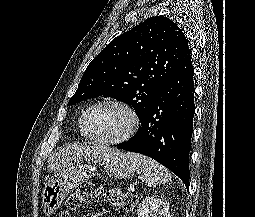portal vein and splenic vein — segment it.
Segmentation results:
<instances>
[{
	"label": "portal vein and splenic vein",
	"mask_w": 255,
	"mask_h": 217,
	"mask_svg": "<svg viewBox=\"0 0 255 217\" xmlns=\"http://www.w3.org/2000/svg\"><path fill=\"white\" fill-rule=\"evenodd\" d=\"M128 191L129 192H134L135 191L134 185H130V187L128 188Z\"/></svg>",
	"instance_id": "portal-vein-and-splenic-vein-1"
}]
</instances>
